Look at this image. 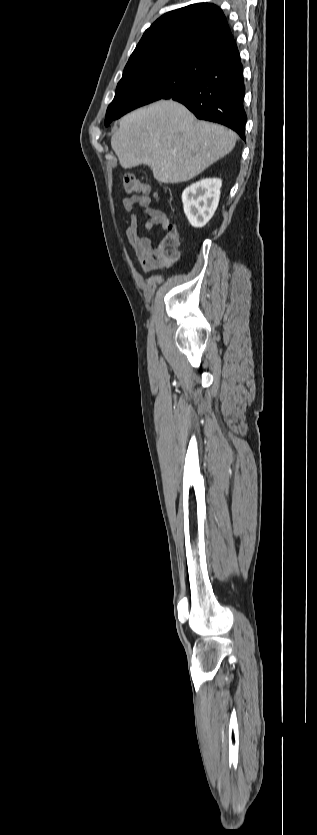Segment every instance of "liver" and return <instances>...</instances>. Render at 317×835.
I'll return each mask as SVG.
<instances>
[{
    "label": "liver",
    "instance_id": "liver-1",
    "mask_svg": "<svg viewBox=\"0 0 317 835\" xmlns=\"http://www.w3.org/2000/svg\"><path fill=\"white\" fill-rule=\"evenodd\" d=\"M237 134L197 121L182 104L160 100L120 120L111 146L123 168L146 164L162 183L190 180L232 151Z\"/></svg>",
    "mask_w": 317,
    "mask_h": 835
}]
</instances>
